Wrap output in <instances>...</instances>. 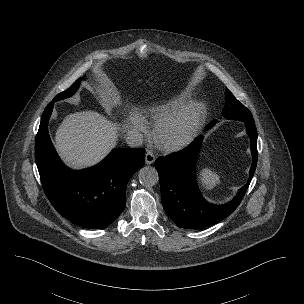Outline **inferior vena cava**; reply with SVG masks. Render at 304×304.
<instances>
[{"label": "inferior vena cava", "instance_id": "1", "mask_svg": "<svg viewBox=\"0 0 304 304\" xmlns=\"http://www.w3.org/2000/svg\"><path fill=\"white\" fill-rule=\"evenodd\" d=\"M126 143L130 147H139L143 143V135L135 130H129L126 135Z\"/></svg>", "mask_w": 304, "mask_h": 304}]
</instances>
